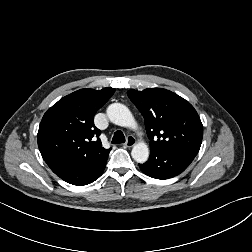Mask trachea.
Masks as SVG:
<instances>
[{
	"label": "trachea",
	"mask_w": 252,
	"mask_h": 252,
	"mask_svg": "<svg viewBox=\"0 0 252 252\" xmlns=\"http://www.w3.org/2000/svg\"><path fill=\"white\" fill-rule=\"evenodd\" d=\"M125 142V136L122 131L118 130L114 133V136L112 138L113 144H120Z\"/></svg>",
	"instance_id": "3493384b"
}]
</instances>
